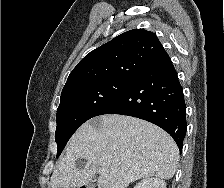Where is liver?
I'll return each instance as SVG.
<instances>
[{"instance_id":"liver-1","label":"liver","mask_w":224,"mask_h":188,"mask_svg":"<svg viewBox=\"0 0 224 188\" xmlns=\"http://www.w3.org/2000/svg\"><path fill=\"white\" fill-rule=\"evenodd\" d=\"M178 161L175 141L161 128L130 116L102 115L84 123L71 137L50 187L79 188L104 169L98 188H127L145 177L171 179Z\"/></svg>"}]
</instances>
